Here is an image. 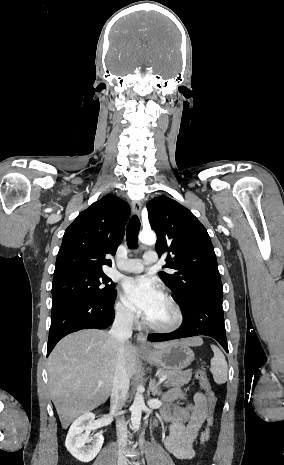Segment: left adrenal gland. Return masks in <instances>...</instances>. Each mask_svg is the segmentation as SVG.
<instances>
[{"instance_id":"a2214340","label":"left adrenal gland","mask_w":284,"mask_h":465,"mask_svg":"<svg viewBox=\"0 0 284 465\" xmlns=\"http://www.w3.org/2000/svg\"><path fill=\"white\" fill-rule=\"evenodd\" d=\"M150 391L153 395V397H161L162 391L160 389L161 385L155 381V379H152L149 383Z\"/></svg>"}]
</instances>
